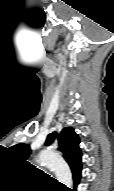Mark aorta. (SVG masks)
<instances>
[{"mask_svg": "<svg viewBox=\"0 0 114 191\" xmlns=\"http://www.w3.org/2000/svg\"><path fill=\"white\" fill-rule=\"evenodd\" d=\"M37 162L46 165L54 171L58 182L69 188L72 186L71 170L60 155L47 150L41 151L38 154Z\"/></svg>", "mask_w": 114, "mask_h": 191, "instance_id": "obj_1", "label": "aorta"}]
</instances>
